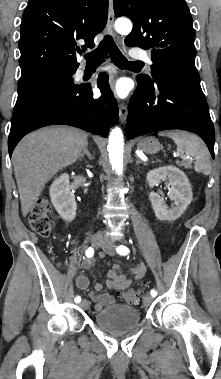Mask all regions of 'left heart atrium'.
Wrapping results in <instances>:
<instances>
[{"label":"left heart atrium","mask_w":221,"mask_h":379,"mask_svg":"<svg viewBox=\"0 0 221 379\" xmlns=\"http://www.w3.org/2000/svg\"><path fill=\"white\" fill-rule=\"evenodd\" d=\"M113 91L118 97H125L128 94V86L125 82L119 81L114 85Z\"/></svg>","instance_id":"39dd6f15"}]
</instances>
